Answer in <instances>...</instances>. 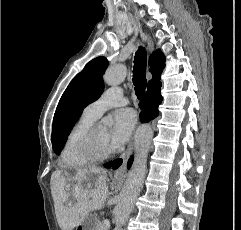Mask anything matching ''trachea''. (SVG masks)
Instances as JSON below:
<instances>
[{"label":"trachea","mask_w":241,"mask_h":230,"mask_svg":"<svg viewBox=\"0 0 241 230\" xmlns=\"http://www.w3.org/2000/svg\"><path fill=\"white\" fill-rule=\"evenodd\" d=\"M147 53L144 48H140L135 55L133 67V84L138 99H142L147 86L146 80Z\"/></svg>","instance_id":"obj_1"}]
</instances>
